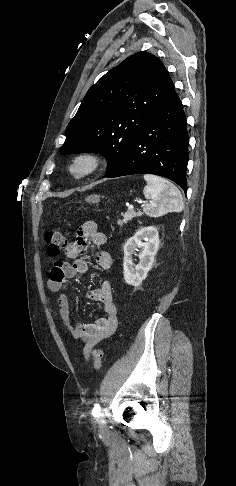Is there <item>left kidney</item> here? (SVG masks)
Instances as JSON below:
<instances>
[{"mask_svg": "<svg viewBox=\"0 0 236 486\" xmlns=\"http://www.w3.org/2000/svg\"><path fill=\"white\" fill-rule=\"evenodd\" d=\"M144 241V242H143ZM159 235L155 227L139 229L124 245L123 274L125 282L134 287L139 286L147 277L159 249ZM140 248V262L133 264V253Z\"/></svg>", "mask_w": 236, "mask_h": 486, "instance_id": "left-kidney-1", "label": "left kidney"}]
</instances>
